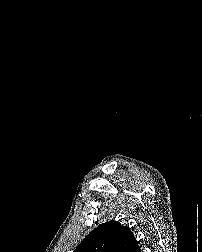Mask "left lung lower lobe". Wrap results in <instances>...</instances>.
Masks as SVG:
<instances>
[{"label":"left lung lower lobe","mask_w":202,"mask_h":252,"mask_svg":"<svg viewBox=\"0 0 202 252\" xmlns=\"http://www.w3.org/2000/svg\"><path fill=\"white\" fill-rule=\"evenodd\" d=\"M136 252H141V249H140V247H138V249H137V251Z\"/></svg>","instance_id":"0a47b994"}]
</instances>
